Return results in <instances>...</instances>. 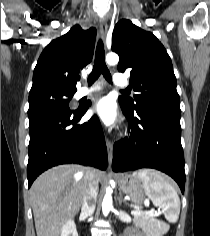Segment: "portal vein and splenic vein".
Segmentation results:
<instances>
[{"label": "portal vein and splenic vein", "mask_w": 210, "mask_h": 236, "mask_svg": "<svg viewBox=\"0 0 210 236\" xmlns=\"http://www.w3.org/2000/svg\"><path fill=\"white\" fill-rule=\"evenodd\" d=\"M131 214H132V215L145 214V215H148V216H154V215L157 214V212H154V210H151V211L142 213V212H140V211H138V210H133V211H131Z\"/></svg>", "instance_id": "portal-vein-and-splenic-vein-1"}]
</instances>
